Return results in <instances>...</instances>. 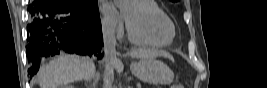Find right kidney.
<instances>
[{"instance_id": "right-kidney-1", "label": "right kidney", "mask_w": 267, "mask_h": 88, "mask_svg": "<svg viewBox=\"0 0 267 88\" xmlns=\"http://www.w3.org/2000/svg\"><path fill=\"white\" fill-rule=\"evenodd\" d=\"M61 88H74V86L69 85V86H62Z\"/></svg>"}]
</instances>
